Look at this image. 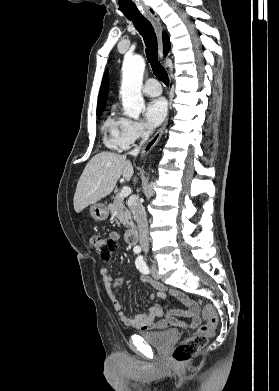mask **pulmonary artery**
I'll return each instance as SVG.
<instances>
[{"label":"pulmonary artery","instance_id":"obj_1","mask_svg":"<svg viewBox=\"0 0 279 391\" xmlns=\"http://www.w3.org/2000/svg\"><path fill=\"white\" fill-rule=\"evenodd\" d=\"M143 92L149 96H158L161 94L162 89L160 84L155 79H149L143 86Z\"/></svg>","mask_w":279,"mask_h":391}]
</instances>
